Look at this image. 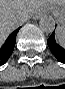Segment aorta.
<instances>
[{"instance_id": "obj_1", "label": "aorta", "mask_w": 65, "mask_h": 89, "mask_svg": "<svg viewBox=\"0 0 65 89\" xmlns=\"http://www.w3.org/2000/svg\"><path fill=\"white\" fill-rule=\"evenodd\" d=\"M55 20L49 14H42L39 20V26L45 33H52L55 30Z\"/></svg>"}]
</instances>
